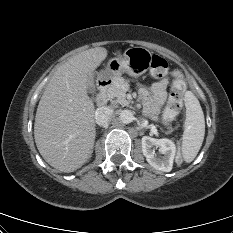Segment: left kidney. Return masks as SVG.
Listing matches in <instances>:
<instances>
[{"label": "left kidney", "mask_w": 233, "mask_h": 233, "mask_svg": "<svg viewBox=\"0 0 233 233\" xmlns=\"http://www.w3.org/2000/svg\"><path fill=\"white\" fill-rule=\"evenodd\" d=\"M141 143L143 155L153 168L163 172H170L172 170L176 146L171 140L144 136ZM153 147H159V151L163 156H157Z\"/></svg>", "instance_id": "left-kidney-1"}]
</instances>
